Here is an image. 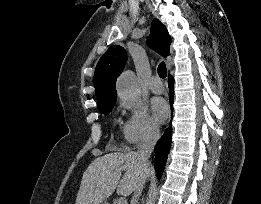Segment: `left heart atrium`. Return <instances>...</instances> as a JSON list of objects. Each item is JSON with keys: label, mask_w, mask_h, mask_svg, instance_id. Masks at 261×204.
<instances>
[{"label": "left heart atrium", "mask_w": 261, "mask_h": 204, "mask_svg": "<svg viewBox=\"0 0 261 204\" xmlns=\"http://www.w3.org/2000/svg\"><path fill=\"white\" fill-rule=\"evenodd\" d=\"M151 108L154 117L159 122H164L169 117V107L167 102L160 97H155L151 100Z\"/></svg>", "instance_id": "obj_1"}]
</instances>
